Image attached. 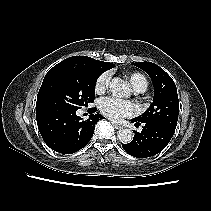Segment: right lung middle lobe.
I'll use <instances>...</instances> for the list:
<instances>
[{"instance_id":"1","label":"right lung middle lobe","mask_w":211,"mask_h":211,"mask_svg":"<svg viewBox=\"0 0 211 211\" xmlns=\"http://www.w3.org/2000/svg\"><path fill=\"white\" fill-rule=\"evenodd\" d=\"M102 73L98 69L60 62L45 75L38 92L36 110L88 106L94 101L96 81Z\"/></svg>"}]
</instances>
